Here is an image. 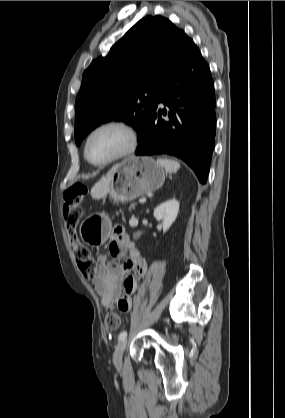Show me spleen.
I'll use <instances>...</instances> for the list:
<instances>
[{
    "instance_id": "1",
    "label": "spleen",
    "mask_w": 285,
    "mask_h": 418,
    "mask_svg": "<svg viewBox=\"0 0 285 418\" xmlns=\"http://www.w3.org/2000/svg\"><path fill=\"white\" fill-rule=\"evenodd\" d=\"M157 164L165 169L166 172L172 173L177 172L180 168V164L177 161L170 160L167 158H158Z\"/></svg>"
}]
</instances>
